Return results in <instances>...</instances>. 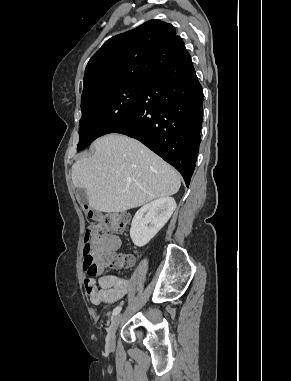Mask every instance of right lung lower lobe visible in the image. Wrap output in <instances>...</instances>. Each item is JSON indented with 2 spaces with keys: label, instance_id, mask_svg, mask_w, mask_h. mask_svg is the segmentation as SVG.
<instances>
[{
  "label": "right lung lower lobe",
  "instance_id": "1",
  "mask_svg": "<svg viewBox=\"0 0 291 381\" xmlns=\"http://www.w3.org/2000/svg\"><path fill=\"white\" fill-rule=\"evenodd\" d=\"M203 91L185 50L146 81L134 113L108 133L135 138L174 166L187 186L199 151Z\"/></svg>",
  "mask_w": 291,
  "mask_h": 381
}]
</instances>
